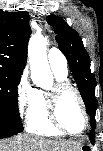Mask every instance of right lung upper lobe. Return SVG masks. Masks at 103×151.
<instances>
[{
    "label": "right lung upper lobe",
    "mask_w": 103,
    "mask_h": 151,
    "mask_svg": "<svg viewBox=\"0 0 103 151\" xmlns=\"http://www.w3.org/2000/svg\"><path fill=\"white\" fill-rule=\"evenodd\" d=\"M26 11L0 10V67L22 73L27 61V45L31 34Z\"/></svg>",
    "instance_id": "right-lung-upper-lobe-1"
}]
</instances>
